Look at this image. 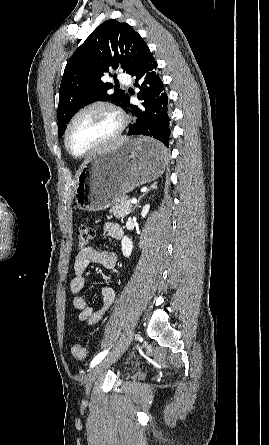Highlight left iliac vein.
I'll list each match as a JSON object with an SVG mask.
<instances>
[{"label": "left iliac vein", "mask_w": 269, "mask_h": 445, "mask_svg": "<svg viewBox=\"0 0 269 445\" xmlns=\"http://www.w3.org/2000/svg\"><path fill=\"white\" fill-rule=\"evenodd\" d=\"M134 336V331L128 330L126 334L121 338L120 342L117 344L114 350L106 358L101 360L89 373L85 385L87 395L90 393L94 381L102 374V372L106 368L113 364L126 351Z\"/></svg>", "instance_id": "left-iliac-vein-1"}]
</instances>
